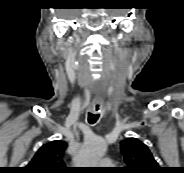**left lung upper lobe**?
I'll use <instances>...</instances> for the list:
<instances>
[{
  "label": "left lung upper lobe",
  "mask_w": 184,
  "mask_h": 173,
  "mask_svg": "<svg viewBox=\"0 0 184 173\" xmlns=\"http://www.w3.org/2000/svg\"><path fill=\"white\" fill-rule=\"evenodd\" d=\"M121 150L127 167L123 173H160L161 168L154 160L147 146L136 138L121 142Z\"/></svg>",
  "instance_id": "left-lung-upper-lobe-1"
}]
</instances>
